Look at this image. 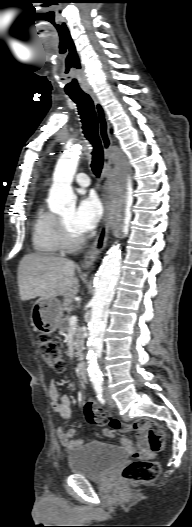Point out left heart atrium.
I'll use <instances>...</instances> for the list:
<instances>
[{
    "label": "left heart atrium",
    "mask_w": 192,
    "mask_h": 527,
    "mask_svg": "<svg viewBox=\"0 0 192 527\" xmlns=\"http://www.w3.org/2000/svg\"><path fill=\"white\" fill-rule=\"evenodd\" d=\"M102 216V207L98 198L90 194L85 196L75 210L71 225L80 235L91 232L98 225Z\"/></svg>",
    "instance_id": "1"
}]
</instances>
